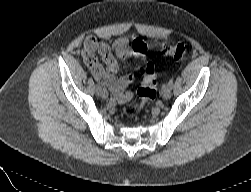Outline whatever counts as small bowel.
I'll use <instances>...</instances> for the list:
<instances>
[{
	"instance_id": "obj_1",
	"label": "small bowel",
	"mask_w": 251,
	"mask_h": 192,
	"mask_svg": "<svg viewBox=\"0 0 251 192\" xmlns=\"http://www.w3.org/2000/svg\"><path fill=\"white\" fill-rule=\"evenodd\" d=\"M147 45L139 39L130 42L127 38H119L112 45L98 40L94 36H88L84 41L82 55L95 80L107 86L116 101L127 102L131 95L125 90L133 83L131 74L118 75V59H126L130 56L145 58ZM97 55L105 63L101 65Z\"/></svg>"
}]
</instances>
